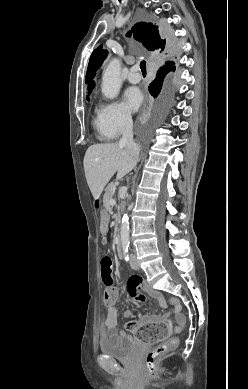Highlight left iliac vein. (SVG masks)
<instances>
[{
    "instance_id": "1",
    "label": "left iliac vein",
    "mask_w": 248,
    "mask_h": 389,
    "mask_svg": "<svg viewBox=\"0 0 248 389\" xmlns=\"http://www.w3.org/2000/svg\"><path fill=\"white\" fill-rule=\"evenodd\" d=\"M130 266L134 270H137L139 268L135 255L130 256Z\"/></svg>"
}]
</instances>
